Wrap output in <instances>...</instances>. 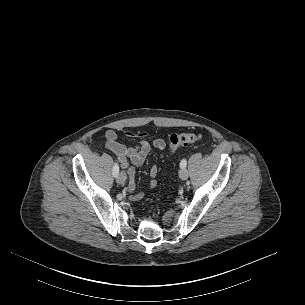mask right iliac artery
I'll return each instance as SVG.
<instances>
[{
    "label": "right iliac artery",
    "mask_w": 305,
    "mask_h": 305,
    "mask_svg": "<svg viewBox=\"0 0 305 305\" xmlns=\"http://www.w3.org/2000/svg\"><path fill=\"white\" fill-rule=\"evenodd\" d=\"M119 174V165L117 162H115L114 166H113V175L117 176Z\"/></svg>",
    "instance_id": "82829eb1"
}]
</instances>
